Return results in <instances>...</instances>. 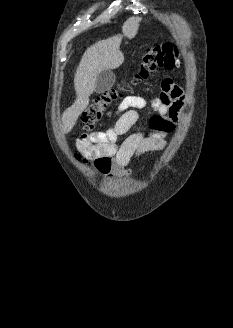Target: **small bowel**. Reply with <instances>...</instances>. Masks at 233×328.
Listing matches in <instances>:
<instances>
[{
  "instance_id": "obj_1",
  "label": "small bowel",
  "mask_w": 233,
  "mask_h": 328,
  "mask_svg": "<svg viewBox=\"0 0 233 328\" xmlns=\"http://www.w3.org/2000/svg\"><path fill=\"white\" fill-rule=\"evenodd\" d=\"M185 103V95L180 86L171 79H164L159 96L145 99L140 96H127L118 106L119 117L105 131L81 135L77 148L89 156H105L112 164V176H130V162L148 152H157L165 148L162 136L144 134L135 129L139 119V110L150 107L160 115L176 121Z\"/></svg>"
}]
</instances>
